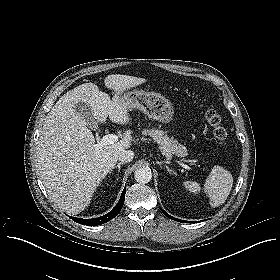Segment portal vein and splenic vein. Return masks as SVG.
Wrapping results in <instances>:
<instances>
[{
  "instance_id": "18ae733b",
  "label": "portal vein and splenic vein",
  "mask_w": 280,
  "mask_h": 280,
  "mask_svg": "<svg viewBox=\"0 0 280 280\" xmlns=\"http://www.w3.org/2000/svg\"><path fill=\"white\" fill-rule=\"evenodd\" d=\"M118 141V136L115 134H107L104 135L101 139V141L96 144V147L101 149L104 145H110V144H114ZM183 168L187 169V170H191L192 168L186 164L182 165Z\"/></svg>"
}]
</instances>
